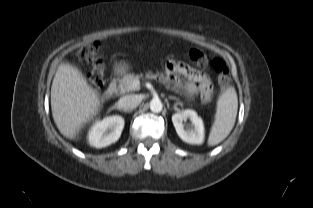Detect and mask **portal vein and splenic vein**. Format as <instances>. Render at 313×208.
Returning <instances> with one entry per match:
<instances>
[{
	"mask_svg": "<svg viewBox=\"0 0 313 208\" xmlns=\"http://www.w3.org/2000/svg\"><path fill=\"white\" fill-rule=\"evenodd\" d=\"M133 85H134V86H138V85H139V81H134V82H133Z\"/></svg>",
	"mask_w": 313,
	"mask_h": 208,
	"instance_id": "1",
	"label": "portal vein and splenic vein"
}]
</instances>
